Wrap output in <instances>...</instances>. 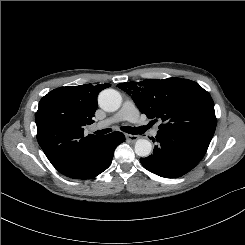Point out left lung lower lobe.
Segmentation results:
<instances>
[{
  "instance_id": "1",
  "label": "left lung lower lobe",
  "mask_w": 245,
  "mask_h": 245,
  "mask_svg": "<svg viewBox=\"0 0 245 245\" xmlns=\"http://www.w3.org/2000/svg\"><path fill=\"white\" fill-rule=\"evenodd\" d=\"M156 141L158 145L153 154L140 158V162L154 174L177 178L188 173L201 161L211 139L191 132L159 130Z\"/></svg>"
}]
</instances>
